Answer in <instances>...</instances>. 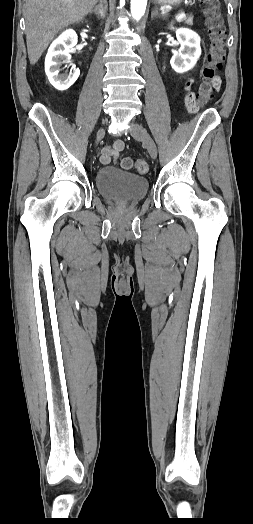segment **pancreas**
<instances>
[{"label": "pancreas", "mask_w": 253, "mask_h": 524, "mask_svg": "<svg viewBox=\"0 0 253 524\" xmlns=\"http://www.w3.org/2000/svg\"><path fill=\"white\" fill-rule=\"evenodd\" d=\"M182 21H185L188 25H193V16L185 17Z\"/></svg>", "instance_id": "obj_1"}]
</instances>
